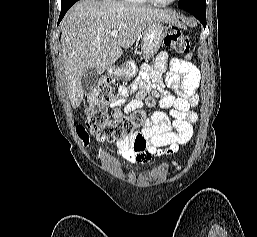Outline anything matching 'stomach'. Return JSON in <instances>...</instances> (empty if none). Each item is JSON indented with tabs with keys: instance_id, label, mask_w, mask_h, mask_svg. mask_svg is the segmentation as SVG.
I'll return each mask as SVG.
<instances>
[{
	"instance_id": "stomach-1",
	"label": "stomach",
	"mask_w": 257,
	"mask_h": 237,
	"mask_svg": "<svg viewBox=\"0 0 257 237\" xmlns=\"http://www.w3.org/2000/svg\"><path fill=\"white\" fill-rule=\"evenodd\" d=\"M166 35L167 27L161 21H155L145 28L141 43V53L144 59L148 60L157 53ZM135 70V65L127 62L119 69V74L125 78H131L135 75Z\"/></svg>"
}]
</instances>
